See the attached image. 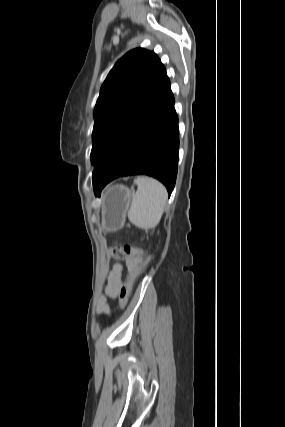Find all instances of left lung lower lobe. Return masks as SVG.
Segmentation results:
<instances>
[{
  "label": "left lung lower lobe",
  "instance_id": "obj_1",
  "mask_svg": "<svg viewBox=\"0 0 285 427\" xmlns=\"http://www.w3.org/2000/svg\"><path fill=\"white\" fill-rule=\"evenodd\" d=\"M179 157L178 118L166 77L148 106L125 130L114 146L94 164V192L119 176L145 174L157 178L170 195Z\"/></svg>",
  "mask_w": 285,
  "mask_h": 427
}]
</instances>
